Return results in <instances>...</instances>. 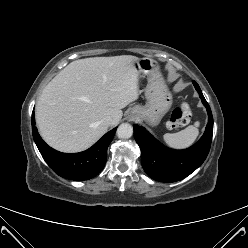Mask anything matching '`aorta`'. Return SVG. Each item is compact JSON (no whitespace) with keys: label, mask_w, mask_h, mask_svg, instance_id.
<instances>
[{"label":"aorta","mask_w":248,"mask_h":248,"mask_svg":"<svg viewBox=\"0 0 248 248\" xmlns=\"http://www.w3.org/2000/svg\"><path fill=\"white\" fill-rule=\"evenodd\" d=\"M133 135V127L128 123L121 124L117 129V136L120 139H128Z\"/></svg>","instance_id":"1"}]
</instances>
